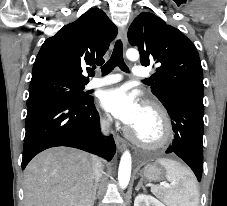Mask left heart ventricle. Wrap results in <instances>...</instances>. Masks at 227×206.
<instances>
[{"label": "left heart ventricle", "mask_w": 227, "mask_h": 206, "mask_svg": "<svg viewBox=\"0 0 227 206\" xmlns=\"http://www.w3.org/2000/svg\"><path fill=\"white\" fill-rule=\"evenodd\" d=\"M134 130L140 138L144 140H153L160 134V125L156 116L152 112L144 109Z\"/></svg>", "instance_id": "left-heart-ventricle-1"}]
</instances>
